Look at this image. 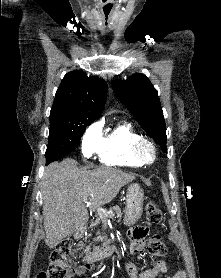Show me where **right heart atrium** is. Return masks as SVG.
Here are the masks:
<instances>
[{
  "label": "right heart atrium",
  "mask_w": 221,
  "mask_h": 278,
  "mask_svg": "<svg viewBox=\"0 0 221 278\" xmlns=\"http://www.w3.org/2000/svg\"><path fill=\"white\" fill-rule=\"evenodd\" d=\"M101 138L100 123H93L85 130L81 140V150L85 158H90L97 152Z\"/></svg>",
  "instance_id": "1"
}]
</instances>
